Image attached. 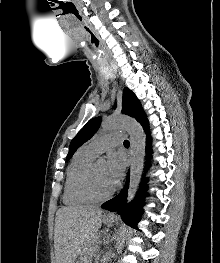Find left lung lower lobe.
<instances>
[{"mask_svg": "<svg viewBox=\"0 0 220 263\" xmlns=\"http://www.w3.org/2000/svg\"><path fill=\"white\" fill-rule=\"evenodd\" d=\"M145 132H147V155H148V159L150 158V135H149V128L148 125H146L144 127ZM129 185V172L127 175V180H126V184L124 189L122 190V192L117 195L116 197H114L113 199L105 202L104 204H102V208L107 209L109 211L115 212L118 211V214L121 215L122 219L124 220L125 223H127L128 225L137 228V222L139 220V217L142 214V197L145 194V187L143 184V188H142V193L139 197H137L132 203H130L129 205H126V197H127V188Z\"/></svg>", "mask_w": 220, "mask_h": 263, "instance_id": "left-lung-lower-lobe-1", "label": "left lung lower lobe"}]
</instances>
